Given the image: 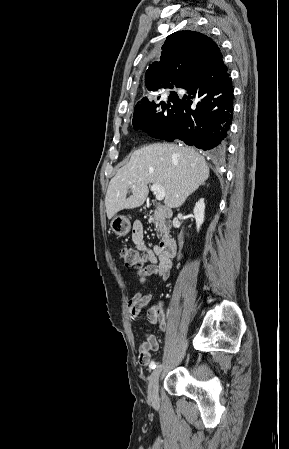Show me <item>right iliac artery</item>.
Returning <instances> with one entry per match:
<instances>
[{"instance_id":"82829eb1","label":"right iliac artery","mask_w":289,"mask_h":449,"mask_svg":"<svg viewBox=\"0 0 289 449\" xmlns=\"http://www.w3.org/2000/svg\"><path fill=\"white\" fill-rule=\"evenodd\" d=\"M155 367H156V363L154 361H151V363L149 365V368L150 369H155Z\"/></svg>"}]
</instances>
